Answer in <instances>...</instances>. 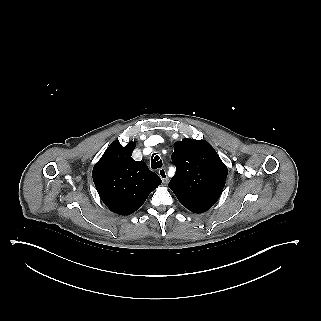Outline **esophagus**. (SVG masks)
<instances>
[{
    "instance_id": "esophagus-1",
    "label": "esophagus",
    "mask_w": 321,
    "mask_h": 321,
    "mask_svg": "<svg viewBox=\"0 0 321 321\" xmlns=\"http://www.w3.org/2000/svg\"><path fill=\"white\" fill-rule=\"evenodd\" d=\"M159 177L162 179L164 184H168V177H167V172L164 168H161L158 171Z\"/></svg>"
}]
</instances>
